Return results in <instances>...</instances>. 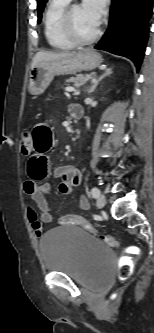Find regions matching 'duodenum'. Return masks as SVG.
<instances>
[{
	"label": "duodenum",
	"instance_id": "1",
	"mask_svg": "<svg viewBox=\"0 0 154 333\" xmlns=\"http://www.w3.org/2000/svg\"><path fill=\"white\" fill-rule=\"evenodd\" d=\"M83 109L82 108H75L72 110V117L76 120H80L83 117Z\"/></svg>",
	"mask_w": 154,
	"mask_h": 333
}]
</instances>
